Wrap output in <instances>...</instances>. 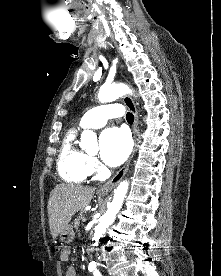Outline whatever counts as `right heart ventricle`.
Returning <instances> with one entry per match:
<instances>
[{
    "label": "right heart ventricle",
    "instance_id": "right-heart-ventricle-1",
    "mask_svg": "<svg viewBox=\"0 0 221 276\" xmlns=\"http://www.w3.org/2000/svg\"><path fill=\"white\" fill-rule=\"evenodd\" d=\"M76 131H69L61 144L58 172L62 179L71 183H82L90 175L88 156L75 143Z\"/></svg>",
    "mask_w": 221,
    "mask_h": 276
}]
</instances>
